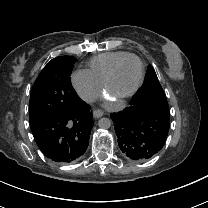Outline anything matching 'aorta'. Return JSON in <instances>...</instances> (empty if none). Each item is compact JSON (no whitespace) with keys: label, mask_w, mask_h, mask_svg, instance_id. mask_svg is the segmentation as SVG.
<instances>
[{"label":"aorta","mask_w":208,"mask_h":208,"mask_svg":"<svg viewBox=\"0 0 208 208\" xmlns=\"http://www.w3.org/2000/svg\"><path fill=\"white\" fill-rule=\"evenodd\" d=\"M98 126L102 129H108L111 126V120L108 118H101L98 121Z\"/></svg>","instance_id":"obj_1"}]
</instances>
